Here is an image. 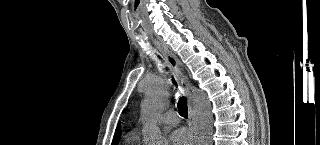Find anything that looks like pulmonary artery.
I'll return each instance as SVG.
<instances>
[{
  "instance_id": "e3ab8cb5",
  "label": "pulmonary artery",
  "mask_w": 320,
  "mask_h": 145,
  "mask_svg": "<svg viewBox=\"0 0 320 145\" xmlns=\"http://www.w3.org/2000/svg\"><path fill=\"white\" fill-rule=\"evenodd\" d=\"M178 116L175 112L173 111H168L164 114H162L159 119L158 123L167 127H173L178 124Z\"/></svg>"
}]
</instances>
